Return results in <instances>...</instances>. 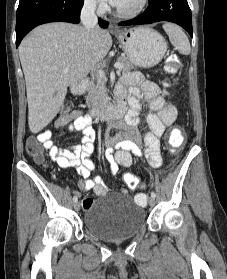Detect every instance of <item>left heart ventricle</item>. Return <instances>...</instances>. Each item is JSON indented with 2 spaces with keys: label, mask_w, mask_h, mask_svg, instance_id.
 <instances>
[{
  "label": "left heart ventricle",
  "mask_w": 227,
  "mask_h": 279,
  "mask_svg": "<svg viewBox=\"0 0 227 279\" xmlns=\"http://www.w3.org/2000/svg\"><path fill=\"white\" fill-rule=\"evenodd\" d=\"M140 0H121L117 5L118 8L124 11L135 9L139 5Z\"/></svg>",
  "instance_id": "1"
}]
</instances>
